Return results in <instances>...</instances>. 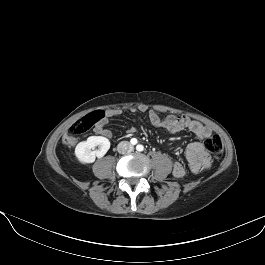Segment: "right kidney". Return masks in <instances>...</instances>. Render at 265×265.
I'll return each instance as SVG.
<instances>
[{
  "instance_id": "1",
  "label": "right kidney",
  "mask_w": 265,
  "mask_h": 265,
  "mask_svg": "<svg viewBox=\"0 0 265 265\" xmlns=\"http://www.w3.org/2000/svg\"><path fill=\"white\" fill-rule=\"evenodd\" d=\"M98 146V150L92 151ZM110 148V141L102 136H91L80 142L75 148V155L82 164L93 163L97 158H102Z\"/></svg>"
}]
</instances>
